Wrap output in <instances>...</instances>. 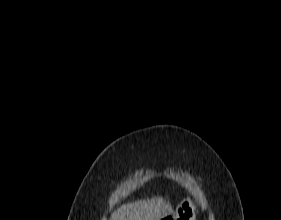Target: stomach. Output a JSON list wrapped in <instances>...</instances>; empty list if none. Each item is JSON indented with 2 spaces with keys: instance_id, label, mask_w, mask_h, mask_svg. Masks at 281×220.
I'll return each mask as SVG.
<instances>
[{
  "instance_id": "stomach-1",
  "label": "stomach",
  "mask_w": 281,
  "mask_h": 220,
  "mask_svg": "<svg viewBox=\"0 0 281 220\" xmlns=\"http://www.w3.org/2000/svg\"><path fill=\"white\" fill-rule=\"evenodd\" d=\"M195 208L190 199H184L173 214L164 217V220H195Z\"/></svg>"
}]
</instances>
